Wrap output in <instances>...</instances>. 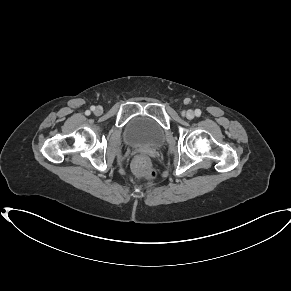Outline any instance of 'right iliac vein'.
<instances>
[{
	"mask_svg": "<svg viewBox=\"0 0 291 291\" xmlns=\"http://www.w3.org/2000/svg\"><path fill=\"white\" fill-rule=\"evenodd\" d=\"M94 113L96 115H100L102 113V108L101 107H96L95 110H94Z\"/></svg>",
	"mask_w": 291,
	"mask_h": 291,
	"instance_id": "right-iliac-vein-1",
	"label": "right iliac vein"
}]
</instances>
